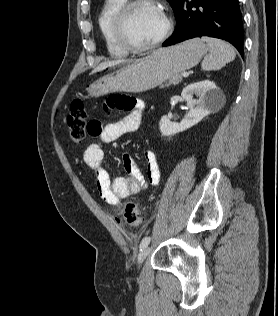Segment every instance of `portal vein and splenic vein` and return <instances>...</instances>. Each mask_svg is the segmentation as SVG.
Here are the masks:
<instances>
[{
	"instance_id": "obj_1",
	"label": "portal vein and splenic vein",
	"mask_w": 278,
	"mask_h": 316,
	"mask_svg": "<svg viewBox=\"0 0 278 316\" xmlns=\"http://www.w3.org/2000/svg\"><path fill=\"white\" fill-rule=\"evenodd\" d=\"M182 76L185 77V78H187V77L189 76V73H188V72H184V73L182 74Z\"/></svg>"
}]
</instances>
